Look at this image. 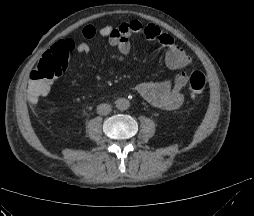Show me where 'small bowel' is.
Here are the masks:
<instances>
[{
	"instance_id": "obj_1",
	"label": "small bowel",
	"mask_w": 254,
	"mask_h": 216,
	"mask_svg": "<svg viewBox=\"0 0 254 216\" xmlns=\"http://www.w3.org/2000/svg\"><path fill=\"white\" fill-rule=\"evenodd\" d=\"M137 34L160 43L166 50L165 62L167 67L170 70L182 71L173 78H165L158 82L140 83L135 86L134 91L147 102L160 109L174 110L181 107L185 101L183 88L187 82V74L184 69L191 63V57L177 44L171 35L161 31L156 26L143 25L137 20L124 22L117 26L105 25L101 28L88 24L82 29V35L85 39L91 40L97 36L107 39L110 46L116 49L112 56L115 61H122L128 56L131 51L130 37ZM54 49L64 52L69 57L73 52L88 53L90 46L86 42L76 43L72 39H66L55 43L47 52Z\"/></svg>"
}]
</instances>
